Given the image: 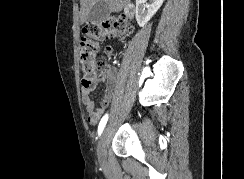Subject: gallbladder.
Masks as SVG:
<instances>
[{
    "label": "gallbladder",
    "instance_id": "bac80fb5",
    "mask_svg": "<svg viewBox=\"0 0 244 179\" xmlns=\"http://www.w3.org/2000/svg\"><path fill=\"white\" fill-rule=\"evenodd\" d=\"M109 14H111L110 4H107L105 0H100V2H96L95 6L91 8V12L88 14L87 22H90V24L105 22Z\"/></svg>",
    "mask_w": 244,
    "mask_h": 179
}]
</instances>
